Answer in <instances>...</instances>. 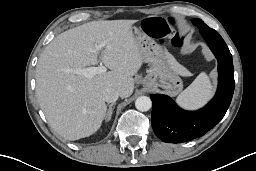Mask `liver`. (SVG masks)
Returning a JSON list of instances; mask_svg holds the SVG:
<instances>
[{
    "label": "liver",
    "mask_w": 256,
    "mask_h": 171,
    "mask_svg": "<svg viewBox=\"0 0 256 171\" xmlns=\"http://www.w3.org/2000/svg\"><path fill=\"white\" fill-rule=\"evenodd\" d=\"M136 20L92 21L55 37L36 66V96L51 128L74 141L93 135L102 125L107 88L121 98L132 95V78L143 63L140 47L131 30ZM105 44L101 50L96 46ZM102 62L110 71L87 78L74 69ZM177 73L185 74L179 64Z\"/></svg>",
    "instance_id": "6515ba94"
}]
</instances>
